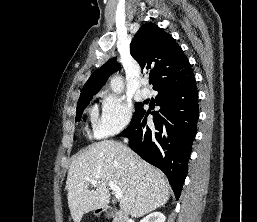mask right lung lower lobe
Instances as JSON below:
<instances>
[{
	"instance_id": "98d812e1",
	"label": "right lung lower lobe",
	"mask_w": 257,
	"mask_h": 222,
	"mask_svg": "<svg viewBox=\"0 0 257 222\" xmlns=\"http://www.w3.org/2000/svg\"><path fill=\"white\" fill-rule=\"evenodd\" d=\"M155 90L161 109L152 114L154 125L147 124L148 113L143 110L120 135L129 138L130 148L140 157L166 174L178 199L199 117L196 81L192 74Z\"/></svg>"
}]
</instances>
